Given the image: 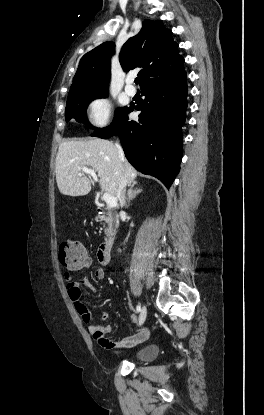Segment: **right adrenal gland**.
Masks as SVG:
<instances>
[{
	"instance_id": "1",
	"label": "right adrenal gland",
	"mask_w": 264,
	"mask_h": 415,
	"mask_svg": "<svg viewBox=\"0 0 264 415\" xmlns=\"http://www.w3.org/2000/svg\"><path fill=\"white\" fill-rule=\"evenodd\" d=\"M136 184H137V182H136V181H134V182L130 185V188H129L128 193H127L126 203H125L126 208L129 206L130 201H131L133 198H135L137 194H139L140 192H142V189H139V188L134 189V186H135Z\"/></svg>"
}]
</instances>
